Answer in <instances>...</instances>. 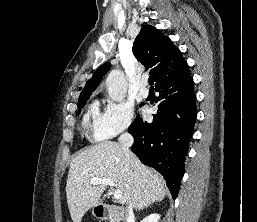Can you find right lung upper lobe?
Masks as SVG:
<instances>
[{
    "label": "right lung upper lobe",
    "mask_w": 257,
    "mask_h": 222,
    "mask_svg": "<svg viewBox=\"0 0 257 222\" xmlns=\"http://www.w3.org/2000/svg\"><path fill=\"white\" fill-rule=\"evenodd\" d=\"M133 53L146 69H150V74L155 78V86L163 81L180 78L190 73L180 50L173 45L169 37L150 25H144L141 28L133 44ZM110 66L108 62L99 67L83 88L78 104L90 97Z\"/></svg>",
    "instance_id": "obj_1"
}]
</instances>
